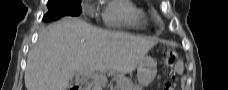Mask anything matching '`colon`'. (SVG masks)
Segmentation results:
<instances>
[{"label":"colon","instance_id":"colon-1","mask_svg":"<svg viewBox=\"0 0 228 90\" xmlns=\"http://www.w3.org/2000/svg\"><path fill=\"white\" fill-rule=\"evenodd\" d=\"M163 59H164V64L167 67H172L173 66V63H174V61L176 59V54H175L174 51L168 50L164 54ZM170 76L171 77H174V72L173 71L170 72ZM165 90H174V87H173V85L171 83H166Z\"/></svg>","mask_w":228,"mask_h":90}]
</instances>
